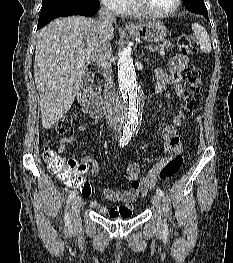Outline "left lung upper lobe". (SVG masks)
<instances>
[{"instance_id":"1","label":"left lung upper lobe","mask_w":233,"mask_h":263,"mask_svg":"<svg viewBox=\"0 0 233 263\" xmlns=\"http://www.w3.org/2000/svg\"><path fill=\"white\" fill-rule=\"evenodd\" d=\"M183 2L189 11L199 14L207 12V8L203 0H183Z\"/></svg>"}]
</instances>
